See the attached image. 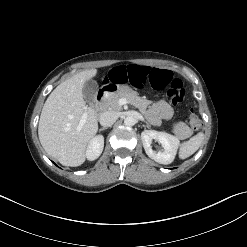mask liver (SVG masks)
I'll use <instances>...</instances> for the list:
<instances>
[{
    "label": "liver",
    "instance_id": "1",
    "mask_svg": "<svg viewBox=\"0 0 247 247\" xmlns=\"http://www.w3.org/2000/svg\"><path fill=\"white\" fill-rule=\"evenodd\" d=\"M97 70L79 72L57 86L47 98L39 120L38 135L45 151L62 165L84 163L86 150L98 131L97 114L86 105L83 87ZM86 122L81 125L83 114Z\"/></svg>",
    "mask_w": 247,
    "mask_h": 247
}]
</instances>
